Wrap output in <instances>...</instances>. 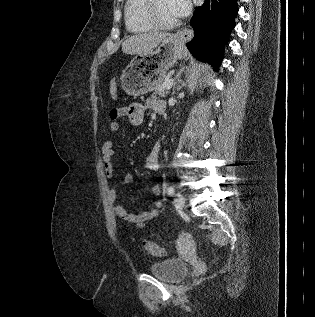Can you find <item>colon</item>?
Returning a JSON list of instances; mask_svg holds the SVG:
<instances>
[{"mask_svg": "<svg viewBox=\"0 0 315 317\" xmlns=\"http://www.w3.org/2000/svg\"><path fill=\"white\" fill-rule=\"evenodd\" d=\"M110 93L114 98L117 95V86L115 81L111 83ZM143 247L147 253L153 256H164L167 253L166 249L148 239L143 240Z\"/></svg>", "mask_w": 315, "mask_h": 317, "instance_id": "5ec220e1", "label": "colon"}]
</instances>
